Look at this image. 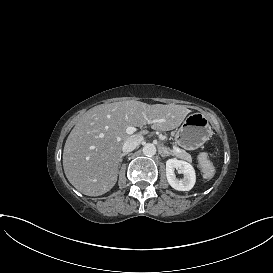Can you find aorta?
<instances>
[{
  "instance_id": "1",
  "label": "aorta",
  "mask_w": 273,
  "mask_h": 273,
  "mask_svg": "<svg viewBox=\"0 0 273 273\" xmlns=\"http://www.w3.org/2000/svg\"><path fill=\"white\" fill-rule=\"evenodd\" d=\"M156 147L154 144L152 143H146L144 146H143V154L145 156H148V157H152L156 154Z\"/></svg>"
}]
</instances>
